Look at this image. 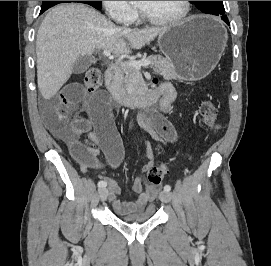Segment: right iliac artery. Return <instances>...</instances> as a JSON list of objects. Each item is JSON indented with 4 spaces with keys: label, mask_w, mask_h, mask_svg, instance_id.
<instances>
[{
    "label": "right iliac artery",
    "mask_w": 271,
    "mask_h": 266,
    "mask_svg": "<svg viewBox=\"0 0 271 266\" xmlns=\"http://www.w3.org/2000/svg\"><path fill=\"white\" fill-rule=\"evenodd\" d=\"M106 186H107L106 181L101 180V181L98 182V187L99 188H105Z\"/></svg>",
    "instance_id": "obj_1"
}]
</instances>
